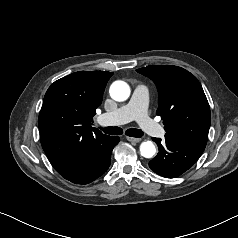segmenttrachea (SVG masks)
Wrapping results in <instances>:
<instances>
[{
  "mask_svg": "<svg viewBox=\"0 0 238 238\" xmlns=\"http://www.w3.org/2000/svg\"><path fill=\"white\" fill-rule=\"evenodd\" d=\"M101 130L109 135H121L123 134V130L119 127H106V128H101ZM126 135L130 137H142L143 136V131L140 129H135V128H130L127 129L125 132Z\"/></svg>",
  "mask_w": 238,
  "mask_h": 238,
  "instance_id": "3493384b",
  "label": "trachea"
}]
</instances>
